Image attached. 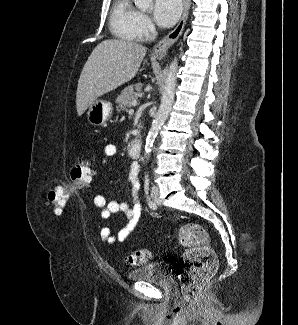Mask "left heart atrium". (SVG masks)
<instances>
[{
  "mask_svg": "<svg viewBox=\"0 0 298 325\" xmlns=\"http://www.w3.org/2000/svg\"><path fill=\"white\" fill-rule=\"evenodd\" d=\"M182 12L181 0H155L153 18L162 28L171 27L179 19Z\"/></svg>",
  "mask_w": 298,
  "mask_h": 325,
  "instance_id": "obj_1",
  "label": "left heart atrium"
}]
</instances>
